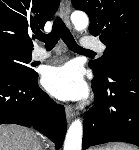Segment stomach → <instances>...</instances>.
Here are the masks:
<instances>
[{
  "mask_svg": "<svg viewBox=\"0 0 139 150\" xmlns=\"http://www.w3.org/2000/svg\"><path fill=\"white\" fill-rule=\"evenodd\" d=\"M94 150H106V148H97V149H94Z\"/></svg>",
  "mask_w": 139,
  "mask_h": 150,
  "instance_id": "1",
  "label": "stomach"
}]
</instances>
